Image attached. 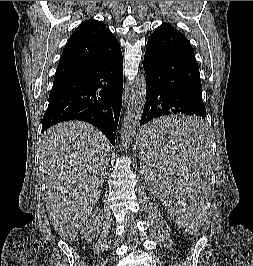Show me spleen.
I'll return each mask as SVG.
<instances>
[{
  "mask_svg": "<svg viewBox=\"0 0 253 266\" xmlns=\"http://www.w3.org/2000/svg\"><path fill=\"white\" fill-rule=\"evenodd\" d=\"M206 124L191 111H173L142 123L146 138H139L140 169H145L147 187L155 190L175 213V224L186 235H207L206 202L210 183L211 142L204 141Z\"/></svg>",
  "mask_w": 253,
  "mask_h": 266,
  "instance_id": "3e777b00",
  "label": "spleen"
}]
</instances>
